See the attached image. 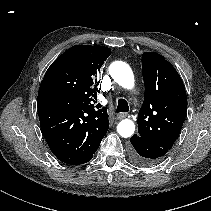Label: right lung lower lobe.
Segmentation results:
<instances>
[{
	"label": "right lung lower lobe",
	"instance_id": "1",
	"mask_svg": "<svg viewBox=\"0 0 211 211\" xmlns=\"http://www.w3.org/2000/svg\"><path fill=\"white\" fill-rule=\"evenodd\" d=\"M40 127L53 154L62 162L90 161L109 127L108 118L89 112L66 93L40 87L37 99Z\"/></svg>",
	"mask_w": 211,
	"mask_h": 211
}]
</instances>
